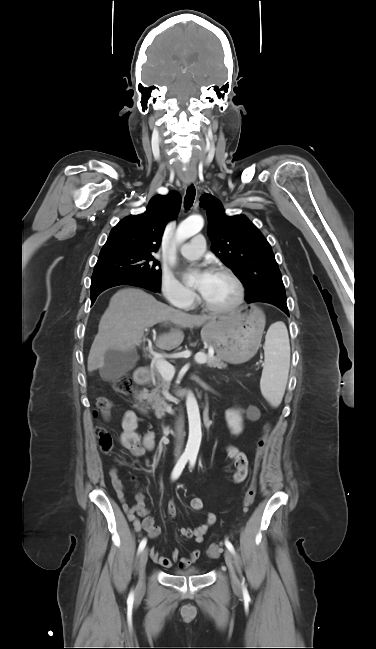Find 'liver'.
<instances>
[{
	"mask_svg": "<svg viewBox=\"0 0 376 649\" xmlns=\"http://www.w3.org/2000/svg\"><path fill=\"white\" fill-rule=\"evenodd\" d=\"M214 318L196 316L173 309L141 289L125 288L117 291L101 317L98 333L91 346L87 369L92 372L104 365V355L108 349L120 351L135 350L144 336L146 328L165 322L182 328L200 327ZM184 339L180 330H171L156 340L161 350L170 351L178 347Z\"/></svg>",
	"mask_w": 376,
	"mask_h": 649,
	"instance_id": "obj_1",
	"label": "liver"
}]
</instances>
